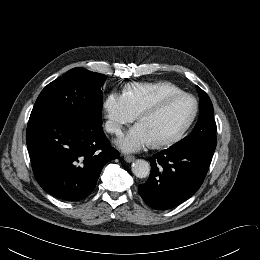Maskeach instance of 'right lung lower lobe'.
<instances>
[{"instance_id":"98d812e1","label":"right lung lower lobe","mask_w":260,"mask_h":260,"mask_svg":"<svg viewBox=\"0 0 260 260\" xmlns=\"http://www.w3.org/2000/svg\"><path fill=\"white\" fill-rule=\"evenodd\" d=\"M27 148L39 185L65 201H81L94 190L103 166L119 152L102 123L62 114L30 116Z\"/></svg>"}]
</instances>
